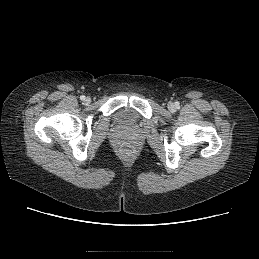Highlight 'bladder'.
I'll use <instances>...</instances> for the list:
<instances>
[{
    "label": "bladder",
    "instance_id": "obj_1",
    "mask_svg": "<svg viewBox=\"0 0 259 259\" xmlns=\"http://www.w3.org/2000/svg\"><path fill=\"white\" fill-rule=\"evenodd\" d=\"M115 122L123 127H130L136 122V114L128 108L118 110L114 115Z\"/></svg>",
    "mask_w": 259,
    "mask_h": 259
}]
</instances>
